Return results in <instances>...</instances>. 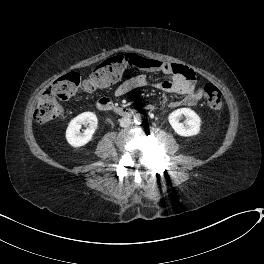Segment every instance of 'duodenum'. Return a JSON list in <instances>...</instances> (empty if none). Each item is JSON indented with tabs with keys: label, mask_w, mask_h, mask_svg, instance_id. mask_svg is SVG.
I'll return each mask as SVG.
<instances>
[{
	"label": "duodenum",
	"mask_w": 264,
	"mask_h": 264,
	"mask_svg": "<svg viewBox=\"0 0 264 264\" xmlns=\"http://www.w3.org/2000/svg\"><path fill=\"white\" fill-rule=\"evenodd\" d=\"M96 106L102 112H113L122 117H131L136 113L133 108L115 106L108 98H101L98 100Z\"/></svg>",
	"instance_id": "obj_1"
}]
</instances>
